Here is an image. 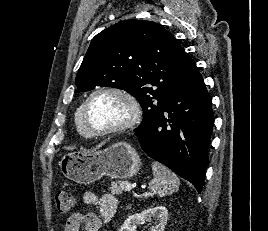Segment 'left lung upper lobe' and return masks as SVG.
I'll use <instances>...</instances> for the list:
<instances>
[{"label": "left lung upper lobe", "mask_w": 268, "mask_h": 231, "mask_svg": "<svg viewBox=\"0 0 268 231\" xmlns=\"http://www.w3.org/2000/svg\"><path fill=\"white\" fill-rule=\"evenodd\" d=\"M196 67L179 41L152 21L124 20L91 41L76 76L80 91L119 88L143 109L135 132L147 131L159 117L171 90Z\"/></svg>", "instance_id": "5c2ea615"}]
</instances>
